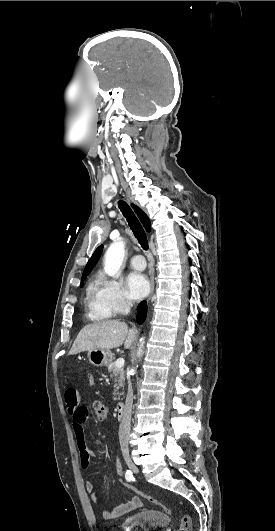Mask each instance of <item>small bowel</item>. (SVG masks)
I'll return each mask as SVG.
<instances>
[{
    "mask_svg": "<svg viewBox=\"0 0 275 531\" xmlns=\"http://www.w3.org/2000/svg\"><path fill=\"white\" fill-rule=\"evenodd\" d=\"M84 380L86 383L91 384L94 382L95 377L93 374L88 373L85 375ZM66 405L67 409L72 417V430L80 450V463L83 468L90 466L91 459L95 457V452L87 447L86 435H85V426L89 420V411L87 408L78 405V397L74 392H68L66 394ZM116 472L119 476L122 475V469L119 462H116ZM129 486H126L129 491ZM85 489L87 493L90 494L91 501L94 504H99V499L96 494V486L91 481L85 482ZM130 492V491H129ZM142 501L139 496H133L129 501L122 503L118 506H115L111 509L103 508L101 514L103 519L111 520L120 516H123L127 513H130L134 510L141 508Z\"/></svg>",
    "mask_w": 275,
    "mask_h": 531,
    "instance_id": "c3829d8e",
    "label": "small bowel"
}]
</instances>
